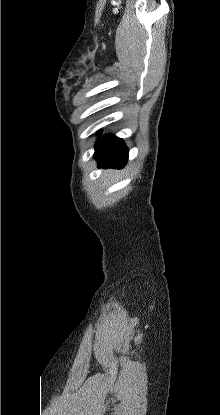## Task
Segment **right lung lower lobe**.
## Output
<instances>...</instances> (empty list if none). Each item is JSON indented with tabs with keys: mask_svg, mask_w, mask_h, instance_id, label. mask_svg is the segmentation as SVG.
Instances as JSON below:
<instances>
[{
	"mask_svg": "<svg viewBox=\"0 0 220 415\" xmlns=\"http://www.w3.org/2000/svg\"><path fill=\"white\" fill-rule=\"evenodd\" d=\"M94 157L98 160L99 167L122 168L128 159V150L122 139L110 135L98 141Z\"/></svg>",
	"mask_w": 220,
	"mask_h": 415,
	"instance_id": "right-lung-lower-lobe-1",
	"label": "right lung lower lobe"
}]
</instances>
